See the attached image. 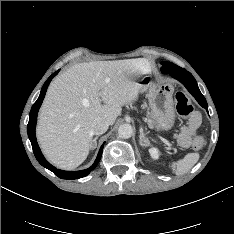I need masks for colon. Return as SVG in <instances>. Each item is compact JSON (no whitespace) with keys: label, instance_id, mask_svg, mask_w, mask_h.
<instances>
[{"label":"colon","instance_id":"1","mask_svg":"<svg viewBox=\"0 0 234 234\" xmlns=\"http://www.w3.org/2000/svg\"><path fill=\"white\" fill-rule=\"evenodd\" d=\"M176 111L178 115L183 119H188L191 121L194 118L193 107L184 92H177L175 95ZM205 145V140L202 136H198L193 141V149L195 151L201 150Z\"/></svg>","mask_w":234,"mask_h":234}]
</instances>
